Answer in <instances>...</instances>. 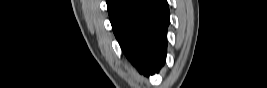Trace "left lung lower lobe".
Returning a JSON list of instances; mask_svg holds the SVG:
<instances>
[{
  "label": "left lung lower lobe",
  "instance_id": "0a47b994",
  "mask_svg": "<svg viewBox=\"0 0 267 88\" xmlns=\"http://www.w3.org/2000/svg\"><path fill=\"white\" fill-rule=\"evenodd\" d=\"M113 32L126 57L145 75L163 65L169 9L166 0H107Z\"/></svg>",
  "mask_w": 267,
  "mask_h": 88
}]
</instances>
